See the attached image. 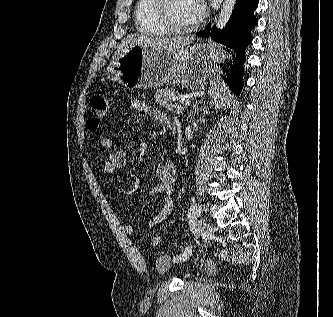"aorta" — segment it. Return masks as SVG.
<instances>
[{
  "instance_id": "obj_1",
  "label": "aorta",
  "mask_w": 333,
  "mask_h": 317,
  "mask_svg": "<svg viewBox=\"0 0 333 317\" xmlns=\"http://www.w3.org/2000/svg\"><path fill=\"white\" fill-rule=\"evenodd\" d=\"M236 0H224L221 11L217 19V27L222 29L230 19L234 10Z\"/></svg>"
}]
</instances>
